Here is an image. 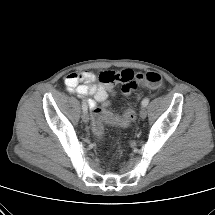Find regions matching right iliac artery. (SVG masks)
<instances>
[{
    "label": "right iliac artery",
    "instance_id": "obj_1",
    "mask_svg": "<svg viewBox=\"0 0 215 215\" xmlns=\"http://www.w3.org/2000/svg\"><path fill=\"white\" fill-rule=\"evenodd\" d=\"M82 110L83 112H87V105L85 101L82 102Z\"/></svg>",
    "mask_w": 215,
    "mask_h": 215
}]
</instances>
